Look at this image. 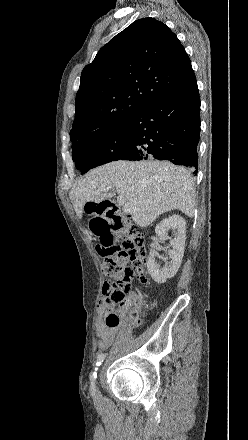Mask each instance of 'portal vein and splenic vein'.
I'll use <instances>...</instances> for the list:
<instances>
[{
	"label": "portal vein and splenic vein",
	"mask_w": 248,
	"mask_h": 440,
	"mask_svg": "<svg viewBox=\"0 0 248 440\" xmlns=\"http://www.w3.org/2000/svg\"><path fill=\"white\" fill-rule=\"evenodd\" d=\"M101 191H106V190L101 189ZM117 201H118L119 205L122 206L123 212L132 214L135 211L134 208L129 203H126V201L124 200L123 197L119 196L117 198Z\"/></svg>",
	"instance_id": "1"
}]
</instances>
